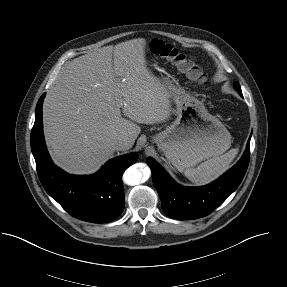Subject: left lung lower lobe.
I'll return each mask as SVG.
<instances>
[{"label": "left lung lower lobe", "mask_w": 287, "mask_h": 287, "mask_svg": "<svg viewBox=\"0 0 287 287\" xmlns=\"http://www.w3.org/2000/svg\"><path fill=\"white\" fill-rule=\"evenodd\" d=\"M250 138L237 164L216 181L202 187H184L177 184L157 161L148 157L153 184L160 196L164 213L174 219L191 220L210 214L222 204L237 189L246 173L250 157Z\"/></svg>", "instance_id": "obj_1"}]
</instances>
